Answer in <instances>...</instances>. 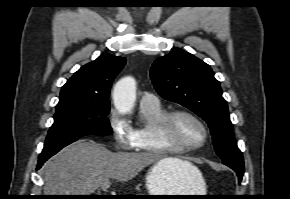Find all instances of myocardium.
<instances>
[{
  "label": "myocardium",
  "mask_w": 290,
  "mask_h": 199,
  "mask_svg": "<svg viewBox=\"0 0 290 199\" xmlns=\"http://www.w3.org/2000/svg\"><path fill=\"white\" fill-rule=\"evenodd\" d=\"M179 116H186L194 121H196L203 130V140L200 144L195 146H185L181 143L169 138L171 133V125L175 118ZM156 135L158 140L169 150L178 152V153H189L193 151H197L202 148L208 141L209 138V131L204 123V121L195 113L184 110V109H177L170 112H167L166 115L158 122L156 128Z\"/></svg>",
  "instance_id": "f54148a6"
}]
</instances>
